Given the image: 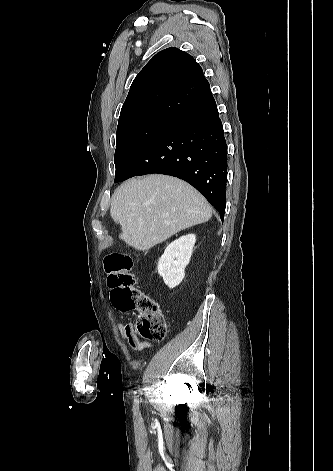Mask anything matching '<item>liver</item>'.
<instances>
[{
  "label": "liver",
  "mask_w": 333,
  "mask_h": 471,
  "mask_svg": "<svg viewBox=\"0 0 333 471\" xmlns=\"http://www.w3.org/2000/svg\"><path fill=\"white\" fill-rule=\"evenodd\" d=\"M110 214L122 233L119 238L147 251L177 232L207 222L212 209L185 181L161 174L132 178L114 192Z\"/></svg>",
  "instance_id": "1"
}]
</instances>
